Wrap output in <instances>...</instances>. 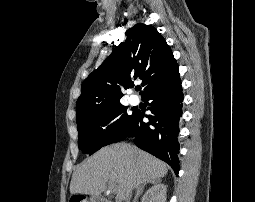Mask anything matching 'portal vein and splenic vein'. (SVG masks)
Returning a JSON list of instances; mask_svg holds the SVG:
<instances>
[{
  "label": "portal vein and splenic vein",
  "mask_w": 255,
  "mask_h": 202,
  "mask_svg": "<svg viewBox=\"0 0 255 202\" xmlns=\"http://www.w3.org/2000/svg\"><path fill=\"white\" fill-rule=\"evenodd\" d=\"M111 191H112L113 193L116 192V189H115L114 185H112V184H111Z\"/></svg>",
  "instance_id": "obj_1"
}]
</instances>
